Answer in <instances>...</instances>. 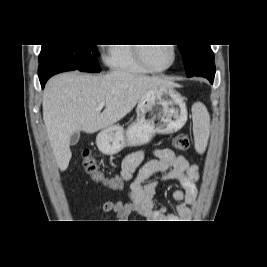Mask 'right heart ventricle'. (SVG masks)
Returning a JSON list of instances; mask_svg holds the SVG:
<instances>
[{
    "label": "right heart ventricle",
    "instance_id": "right-heart-ventricle-1",
    "mask_svg": "<svg viewBox=\"0 0 267 267\" xmlns=\"http://www.w3.org/2000/svg\"><path fill=\"white\" fill-rule=\"evenodd\" d=\"M107 63L113 71L149 73V70L138 61L135 46L131 44H111Z\"/></svg>",
    "mask_w": 267,
    "mask_h": 267
}]
</instances>
